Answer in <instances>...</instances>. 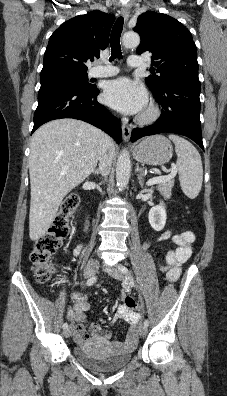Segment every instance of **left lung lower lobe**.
I'll return each mask as SVG.
<instances>
[{
    "label": "left lung lower lobe",
    "mask_w": 227,
    "mask_h": 396,
    "mask_svg": "<svg viewBox=\"0 0 227 396\" xmlns=\"http://www.w3.org/2000/svg\"><path fill=\"white\" fill-rule=\"evenodd\" d=\"M200 85L173 83L153 93L162 106L160 118L153 125L132 130L131 141L159 133H176L195 141L202 149L200 123Z\"/></svg>",
    "instance_id": "1"
}]
</instances>
